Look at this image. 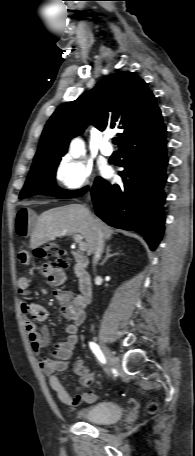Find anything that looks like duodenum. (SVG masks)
<instances>
[{
    "instance_id": "duodenum-1",
    "label": "duodenum",
    "mask_w": 195,
    "mask_h": 456,
    "mask_svg": "<svg viewBox=\"0 0 195 456\" xmlns=\"http://www.w3.org/2000/svg\"><path fill=\"white\" fill-rule=\"evenodd\" d=\"M77 270L79 271V289L83 302L86 304L92 298V282L91 278L86 272V266L88 264L87 258L79 253L73 255Z\"/></svg>"
}]
</instances>
